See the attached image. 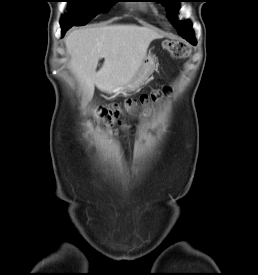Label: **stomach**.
Segmentation results:
<instances>
[{
	"instance_id": "stomach-1",
	"label": "stomach",
	"mask_w": 258,
	"mask_h": 275,
	"mask_svg": "<svg viewBox=\"0 0 258 275\" xmlns=\"http://www.w3.org/2000/svg\"><path fill=\"white\" fill-rule=\"evenodd\" d=\"M155 67V58L153 55L148 54L145 56L144 60L141 63L139 70L133 79L126 86L116 90L114 93H122V92H133L138 90L143 83L146 81L150 73Z\"/></svg>"
}]
</instances>
